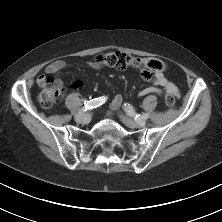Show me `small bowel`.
I'll return each mask as SVG.
<instances>
[{
  "label": "small bowel",
  "instance_id": "small-bowel-1",
  "mask_svg": "<svg viewBox=\"0 0 222 222\" xmlns=\"http://www.w3.org/2000/svg\"><path fill=\"white\" fill-rule=\"evenodd\" d=\"M88 66L94 70H100V66L97 65L95 62H88ZM67 67V63L62 60H57L50 63L47 68L46 72L49 74H59L62 70ZM138 75L140 78L144 79L145 81L153 84L150 87L144 88L139 92V96H146L149 94H161L160 89L163 88L168 93L172 94L174 97L178 98L180 93L178 87L167 80L165 75L162 72L154 73L152 71H148L145 68L139 70ZM43 76L38 79V83L42 80ZM122 103V97L120 95H116L112 102H111V109H115L120 107Z\"/></svg>",
  "mask_w": 222,
  "mask_h": 222
}]
</instances>
